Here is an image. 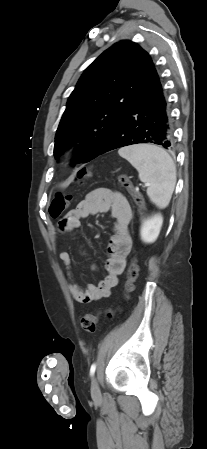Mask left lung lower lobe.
Here are the masks:
<instances>
[{
    "instance_id": "0a47b994",
    "label": "left lung lower lobe",
    "mask_w": 207,
    "mask_h": 449,
    "mask_svg": "<svg viewBox=\"0 0 207 449\" xmlns=\"http://www.w3.org/2000/svg\"><path fill=\"white\" fill-rule=\"evenodd\" d=\"M138 143H152L165 149L173 146L170 110L156 70L144 92L95 157Z\"/></svg>"
}]
</instances>
